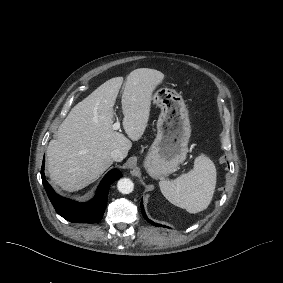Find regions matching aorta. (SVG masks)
<instances>
[{"label":"aorta","instance_id":"762f6f07","mask_svg":"<svg viewBox=\"0 0 283 283\" xmlns=\"http://www.w3.org/2000/svg\"><path fill=\"white\" fill-rule=\"evenodd\" d=\"M118 191L122 194H129L133 191L134 184L129 178H121L117 183Z\"/></svg>","mask_w":283,"mask_h":283}]
</instances>
